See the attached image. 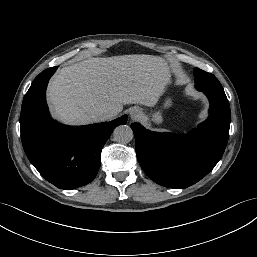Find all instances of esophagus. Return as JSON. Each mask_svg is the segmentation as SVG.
<instances>
[{"mask_svg":"<svg viewBox=\"0 0 257 257\" xmlns=\"http://www.w3.org/2000/svg\"><path fill=\"white\" fill-rule=\"evenodd\" d=\"M141 113L137 109H133L130 111V119L131 120H137L140 117Z\"/></svg>","mask_w":257,"mask_h":257,"instance_id":"esophagus-1","label":"esophagus"}]
</instances>
